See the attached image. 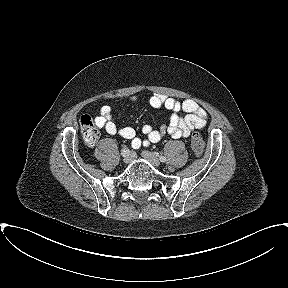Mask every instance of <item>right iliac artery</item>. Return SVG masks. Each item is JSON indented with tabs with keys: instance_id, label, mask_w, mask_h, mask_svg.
Returning <instances> with one entry per match:
<instances>
[{
	"instance_id": "obj_1",
	"label": "right iliac artery",
	"mask_w": 288,
	"mask_h": 288,
	"mask_svg": "<svg viewBox=\"0 0 288 288\" xmlns=\"http://www.w3.org/2000/svg\"><path fill=\"white\" fill-rule=\"evenodd\" d=\"M129 152H130L129 149L123 148L122 151H121L122 157L124 159H129L130 158V153Z\"/></svg>"
}]
</instances>
